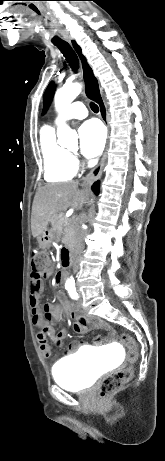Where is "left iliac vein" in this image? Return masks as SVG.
Wrapping results in <instances>:
<instances>
[{"mask_svg":"<svg viewBox=\"0 0 165 461\" xmlns=\"http://www.w3.org/2000/svg\"><path fill=\"white\" fill-rule=\"evenodd\" d=\"M82 297L80 296L79 300L77 301V306L81 307L82 306Z\"/></svg>","mask_w":165,"mask_h":461,"instance_id":"left-iliac-vein-1","label":"left iliac vein"}]
</instances>
